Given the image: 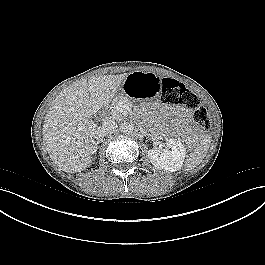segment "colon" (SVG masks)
I'll list each match as a JSON object with an SVG mask.
<instances>
[{"instance_id": "obj_1", "label": "colon", "mask_w": 265, "mask_h": 265, "mask_svg": "<svg viewBox=\"0 0 265 265\" xmlns=\"http://www.w3.org/2000/svg\"><path fill=\"white\" fill-rule=\"evenodd\" d=\"M162 100L166 105H183L194 109L193 121L199 130L210 128V116L206 107L200 104L196 94L182 83L171 79L161 80Z\"/></svg>"}]
</instances>
